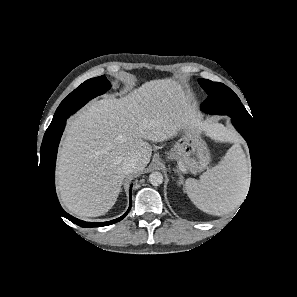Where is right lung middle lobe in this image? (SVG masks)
<instances>
[{
	"mask_svg": "<svg viewBox=\"0 0 297 297\" xmlns=\"http://www.w3.org/2000/svg\"><path fill=\"white\" fill-rule=\"evenodd\" d=\"M110 88V83L105 75L92 78L82 83L71 92L57 108L47 131L53 130L75 113L92 98L105 93Z\"/></svg>",
	"mask_w": 297,
	"mask_h": 297,
	"instance_id": "1",
	"label": "right lung middle lobe"
}]
</instances>
